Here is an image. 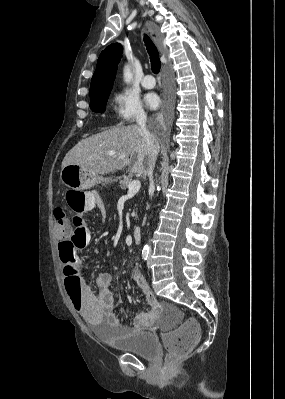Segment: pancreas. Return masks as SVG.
<instances>
[{
	"label": "pancreas",
	"mask_w": 285,
	"mask_h": 399,
	"mask_svg": "<svg viewBox=\"0 0 285 399\" xmlns=\"http://www.w3.org/2000/svg\"><path fill=\"white\" fill-rule=\"evenodd\" d=\"M132 182V178L131 177H127V176H121V177H119V184H120V187H121V189H126V188H128V186H129V184Z\"/></svg>",
	"instance_id": "1"
}]
</instances>
